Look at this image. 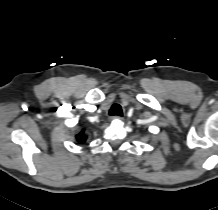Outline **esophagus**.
<instances>
[{
    "label": "esophagus",
    "instance_id": "34e87169",
    "mask_svg": "<svg viewBox=\"0 0 218 210\" xmlns=\"http://www.w3.org/2000/svg\"><path fill=\"white\" fill-rule=\"evenodd\" d=\"M122 119V117H120V116H114V117H112V120H121Z\"/></svg>",
    "mask_w": 218,
    "mask_h": 210
}]
</instances>
